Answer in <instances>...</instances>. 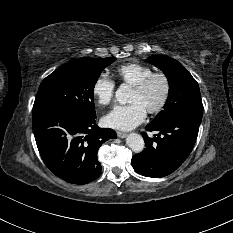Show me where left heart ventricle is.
<instances>
[{"mask_svg":"<svg viewBox=\"0 0 233 233\" xmlns=\"http://www.w3.org/2000/svg\"><path fill=\"white\" fill-rule=\"evenodd\" d=\"M162 94L163 82L160 79H155L144 92L139 93L133 90L129 101L141 104L147 111L159 103Z\"/></svg>","mask_w":233,"mask_h":233,"instance_id":"b2bd125f","label":"left heart ventricle"}]
</instances>
